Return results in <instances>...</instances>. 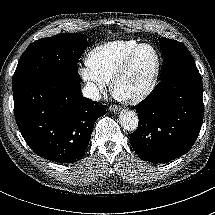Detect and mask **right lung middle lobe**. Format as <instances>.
<instances>
[{
	"label": "right lung middle lobe",
	"instance_id": "dd1d6c3e",
	"mask_svg": "<svg viewBox=\"0 0 215 215\" xmlns=\"http://www.w3.org/2000/svg\"><path fill=\"white\" fill-rule=\"evenodd\" d=\"M86 38L84 34L65 33L31 43L20 57L12 89L39 78L80 82L77 63L88 45Z\"/></svg>",
	"mask_w": 215,
	"mask_h": 215
}]
</instances>
